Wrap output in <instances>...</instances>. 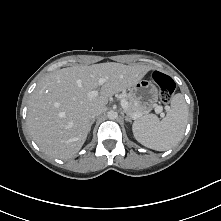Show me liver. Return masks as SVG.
Here are the masks:
<instances>
[{"mask_svg":"<svg viewBox=\"0 0 221 221\" xmlns=\"http://www.w3.org/2000/svg\"><path fill=\"white\" fill-rule=\"evenodd\" d=\"M152 68L108 62L67 67L47 75L31 94L27 125L39 148L48 156L70 159L86 141L91 114L105 109L109 97L131 88ZM104 78L103 85L99 79ZM100 88V94L89 97Z\"/></svg>","mask_w":221,"mask_h":221,"instance_id":"liver-1","label":"liver"}]
</instances>
